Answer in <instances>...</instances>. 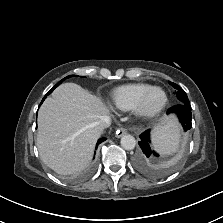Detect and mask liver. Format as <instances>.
I'll use <instances>...</instances> for the list:
<instances>
[{
  "label": "liver",
  "mask_w": 223,
  "mask_h": 223,
  "mask_svg": "<svg viewBox=\"0 0 223 223\" xmlns=\"http://www.w3.org/2000/svg\"><path fill=\"white\" fill-rule=\"evenodd\" d=\"M108 107L75 83H63L38 112L37 147L41 160L58 174L85 169L100 137L95 123L108 117ZM171 126L161 119L155 133Z\"/></svg>",
  "instance_id": "obj_1"
}]
</instances>
